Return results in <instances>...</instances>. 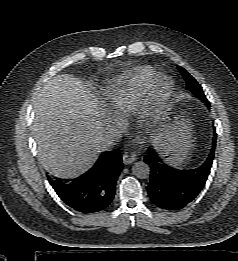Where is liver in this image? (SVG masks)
Here are the masks:
<instances>
[{"label": "liver", "mask_w": 238, "mask_h": 261, "mask_svg": "<svg viewBox=\"0 0 238 261\" xmlns=\"http://www.w3.org/2000/svg\"><path fill=\"white\" fill-rule=\"evenodd\" d=\"M102 110L79 78L61 74L47 81L36 99L33 122L38 159L47 172L75 178L92 167L103 151Z\"/></svg>", "instance_id": "obj_1"}]
</instances>
